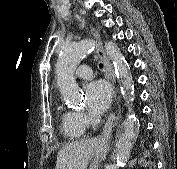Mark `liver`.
I'll return each mask as SVG.
<instances>
[{"instance_id": "obj_1", "label": "liver", "mask_w": 177, "mask_h": 169, "mask_svg": "<svg viewBox=\"0 0 177 169\" xmlns=\"http://www.w3.org/2000/svg\"><path fill=\"white\" fill-rule=\"evenodd\" d=\"M99 144L97 139H86L63 147L57 154L56 169H87Z\"/></svg>"}]
</instances>
